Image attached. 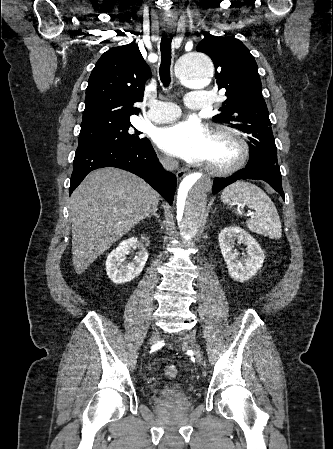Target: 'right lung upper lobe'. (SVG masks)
I'll list each match as a JSON object with an SVG mask.
<instances>
[{
    "label": "right lung upper lobe",
    "mask_w": 333,
    "mask_h": 449,
    "mask_svg": "<svg viewBox=\"0 0 333 449\" xmlns=\"http://www.w3.org/2000/svg\"><path fill=\"white\" fill-rule=\"evenodd\" d=\"M148 78L150 69L137 44L109 49L89 77L81 126L124 121L137 115L140 109L133 104L142 101Z\"/></svg>",
    "instance_id": "right-lung-upper-lobe-1"
}]
</instances>
